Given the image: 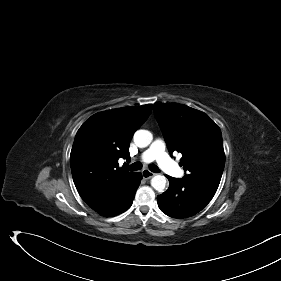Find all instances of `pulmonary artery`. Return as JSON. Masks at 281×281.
Segmentation results:
<instances>
[{"label":"pulmonary artery","mask_w":281,"mask_h":281,"mask_svg":"<svg viewBox=\"0 0 281 281\" xmlns=\"http://www.w3.org/2000/svg\"><path fill=\"white\" fill-rule=\"evenodd\" d=\"M142 161L151 162L156 160L162 170L173 177H182L183 170L174 163L165 151V142L162 139H156L151 146L142 154Z\"/></svg>","instance_id":"pulmonary-artery-1"}]
</instances>
